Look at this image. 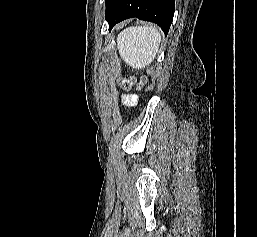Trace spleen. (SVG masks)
I'll return each instance as SVG.
<instances>
[{"label": "spleen", "instance_id": "3e777b00", "mask_svg": "<svg viewBox=\"0 0 257 237\" xmlns=\"http://www.w3.org/2000/svg\"><path fill=\"white\" fill-rule=\"evenodd\" d=\"M160 42L159 30L149 25L128 27L117 37L120 56L134 69H142L152 63Z\"/></svg>", "mask_w": 257, "mask_h": 237}]
</instances>
